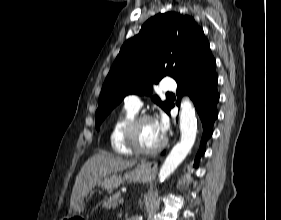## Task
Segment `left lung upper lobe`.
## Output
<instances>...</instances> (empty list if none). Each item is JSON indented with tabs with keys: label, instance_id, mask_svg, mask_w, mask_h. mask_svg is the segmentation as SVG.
I'll use <instances>...</instances> for the list:
<instances>
[{
	"label": "left lung upper lobe",
	"instance_id": "left-lung-upper-lobe-1",
	"mask_svg": "<svg viewBox=\"0 0 281 220\" xmlns=\"http://www.w3.org/2000/svg\"><path fill=\"white\" fill-rule=\"evenodd\" d=\"M210 48L201 27L177 12L157 14L147 20L138 35L127 40L103 84L96 111L95 127L129 94L151 95L153 84L170 76L176 81L190 62ZM165 112L171 102L153 97Z\"/></svg>",
	"mask_w": 281,
	"mask_h": 220
}]
</instances>
